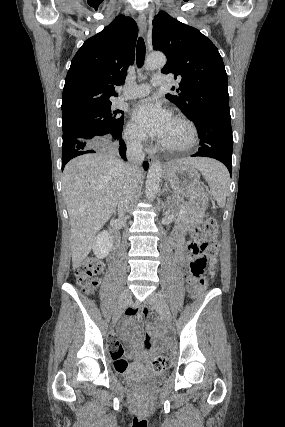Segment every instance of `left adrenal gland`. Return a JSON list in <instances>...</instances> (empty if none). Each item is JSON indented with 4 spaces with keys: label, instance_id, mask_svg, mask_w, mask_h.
Listing matches in <instances>:
<instances>
[{
    "label": "left adrenal gland",
    "instance_id": "1",
    "mask_svg": "<svg viewBox=\"0 0 285 427\" xmlns=\"http://www.w3.org/2000/svg\"><path fill=\"white\" fill-rule=\"evenodd\" d=\"M163 191H166V192L169 191V188L167 187V185H165ZM170 200H171V197H168L167 203H165L164 208L170 206Z\"/></svg>",
    "mask_w": 285,
    "mask_h": 427
}]
</instances>
